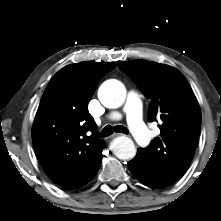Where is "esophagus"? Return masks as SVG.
I'll return each instance as SVG.
<instances>
[{
    "mask_svg": "<svg viewBox=\"0 0 221 221\" xmlns=\"http://www.w3.org/2000/svg\"><path fill=\"white\" fill-rule=\"evenodd\" d=\"M121 135H122L121 133H116V134H115V136H121Z\"/></svg>",
    "mask_w": 221,
    "mask_h": 221,
    "instance_id": "obj_1",
    "label": "esophagus"
}]
</instances>
